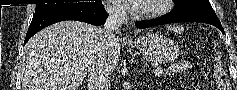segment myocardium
Returning <instances> with one entry per match:
<instances>
[{
    "label": "myocardium",
    "mask_w": 237,
    "mask_h": 90,
    "mask_svg": "<svg viewBox=\"0 0 237 90\" xmlns=\"http://www.w3.org/2000/svg\"><path fill=\"white\" fill-rule=\"evenodd\" d=\"M163 3H170V0L145 1L141 5L131 7L130 11L142 20H150L167 12V7Z\"/></svg>",
    "instance_id": "f54148a6"
}]
</instances>
